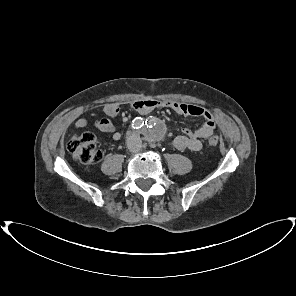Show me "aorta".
I'll list each match as a JSON object with an SVG mask.
<instances>
[{"label":"aorta","instance_id":"obj_1","mask_svg":"<svg viewBox=\"0 0 296 296\" xmlns=\"http://www.w3.org/2000/svg\"><path fill=\"white\" fill-rule=\"evenodd\" d=\"M147 137L150 140L158 141L162 138V133L157 132V123L154 119L148 121Z\"/></svg>","mask_w":296,"mask_h":296}]
</instances>
